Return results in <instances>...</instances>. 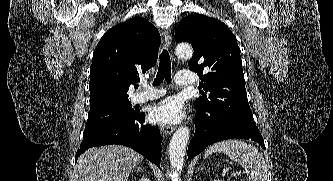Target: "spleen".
Segmentation results:
<instances>
[{"instance_id": "1", "label": "spleen", "mask_w": 333, "mask_h": 181, "mask_svg": "<svg viewBox=\"0 0 333 181\" xmlns=\"http://www.w3.org/2000/svg\"><path fill=\"white\" fill-rule=\"evenodd\" d=\"M213 153H224L231 160L249 170V181H266L267 165L263 155L252 145L240 140H226L208 147L204 158Z\"/></svg>"}]
</instances>
